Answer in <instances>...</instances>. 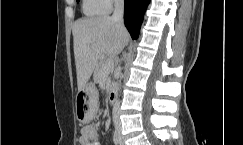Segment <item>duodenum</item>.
<instances>
[{
    "mask_svg": "<svg viewBox=\"0 0 243 145\" xmlns=\"http://www.w3.org/2000/svg\"><path fill=\"white\" fill-rule=\"evenodd\" d=\"M116 96H117V89L114 85H112L109 87V90H108V101L110 103H114L116 100Z\"/></svg>",
    "mask_w": 243,
    "mask_h": 145,
    "instance_id": "410a0bca",
    "label": "duodenum"
}]
</instances>
